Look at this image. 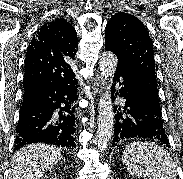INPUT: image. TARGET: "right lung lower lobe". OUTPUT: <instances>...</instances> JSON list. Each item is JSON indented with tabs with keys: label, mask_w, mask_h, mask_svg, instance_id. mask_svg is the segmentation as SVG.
Returning <instances> with one entry per match:
<instances>
[{
	"label": "right lung lower lobe",
	"mask_w": 183,
	"mask_h": 179,
	"mask_svg": "<svg viewBox=\"0 0 183 179\" xmlns=\"http://www.w3.org/2000/svg\"><path fill=\"white\" fill-rule=\"evenodd\" d=\"M77 80L65 83L39 82L25 89L17 126L15 149L45 142L69 149L76 147L74 102ZM60 108L56 115L54 111Z\"/></svg>",
	"instance_id": "1"
}]
</instances>
